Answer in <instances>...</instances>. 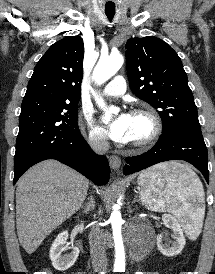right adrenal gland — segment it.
I'll return each instance as SVG.
<instances>
[{"label":"right adrenal gland","mask_w":215,"mask_h":274,"mask_svg":"<svg viewBox=\"0 0 215 274\" xmlns=\"http://www.w3.org/2000/svg\"><path fill=\"white\" fill-rule=\"evenodd\" d=\"M88 200H89L88 203L81 206V209L84 214H88L92 209H94V206H95V201L92 196H90Z\"/></svg>","instance_id":"right-adrenal-gland-1"}]
</instances>
